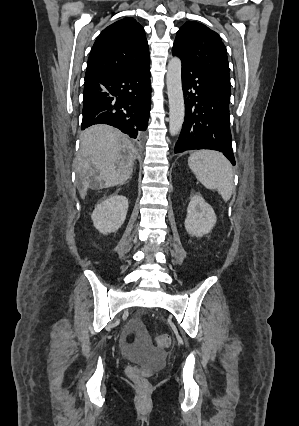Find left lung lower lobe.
Masks as SVG:
<instances>
[{"label": "left lung lower lobe", "mask_w": 299, "mask_h": 426, "mask_svg": "<svg viewBox=\"0 0 299 426\" xmlns=\"http://www.w3.org/2000/svg\"><path fill=\"white\" fill-rule=\"evenodd\" d=\"M182 87L185 121L174 152L214 149L223 152L235 165L229 126L230 93L185 61H182Z\"/></svg>", "instance_id": "0a47b994"}]
</instances>
